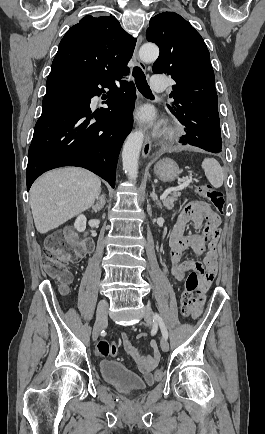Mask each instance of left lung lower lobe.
<instances>
[{"label": "left lung lower lobe", "mask_w": 265, "mask_h": 434, "mask_svg": "<svg viewBox=\"0 0 265 434\" xmlns=\"http://www.w3.org/2000/svg\"><path fill=\"white\" fill-rule=\"evenodd\" d=\"M180 142L212 153H220L222 150L221 133L187 130V134L181 138Z\"/></svg>", "instance_id": "1"}]
</instances>
